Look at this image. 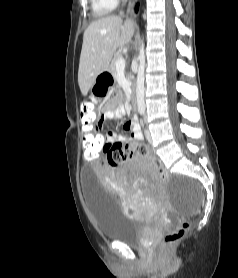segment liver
Instances as JSON below:
<instances>
[{
    "label": "liver",
    "mask_w": 238,
    "mask_h": 278,
    "mask_svg": "<svg viewBox=\"0 0 238 278\" xmlns=\"http://www.w3.org/2000/svg\"><path fill=\"white\" fill-rule=\"evenodd\" d=\"M134 35V22L112 15L93 21L84 32L78 83L86 96L96 78L107 71L117 48H123Z\"/></svg>",
    "instance_id": "1"
}]
</instances>
